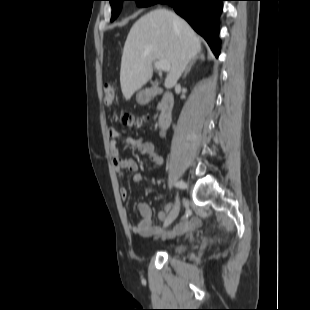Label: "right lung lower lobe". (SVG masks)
Instances as JSON below:
<instances>
[{
  "mask_svg": "<svg viewBox=\"0 0 310 310\" xmlns=\"http://www.w3.org/2000/svg\"><path fill=\"white\" fill-rule=\"evenodd\" d=\"M224 0H156L167 3L183 17L209 44L218 57L220 51L219 18Z\"/></svg>",
  "mask_w": 310,
  "mask_h": 310,
  "instance_id": "98d812e1",
  "label": "right lung lower lobe"
}]
</instances>
